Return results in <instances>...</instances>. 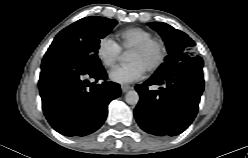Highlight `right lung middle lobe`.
Returning <instances> with one entry per match:
<instances>
[{
  "mask_svg": "<svg viewBox=\"0 0 248 158\" xmlns=\"http://www.w3.org/2000/svg\"><path fill=\"white\" fill-rule=\"evenodd\" d=\"M117 24L104 17H85L64 28L47 53H61L80 58H98L99 43Z\"/></svg>",
  "mask_w": 248,
  "mask_h": 158,
  "instance_id": "obj_1",
  "label": "right lung middle lobe"
}]
</instances>
